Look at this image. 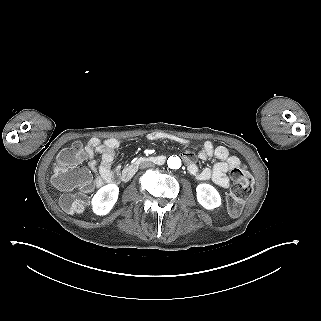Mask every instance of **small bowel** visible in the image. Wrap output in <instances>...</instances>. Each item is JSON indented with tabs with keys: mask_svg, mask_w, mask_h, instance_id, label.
<instances>
[{
	"mask_svg": "<svg viewBox=\"0 0 321 321\" xmlns=\"http://www.w3.org/2000/svg\"><path fill=\"white\" fill-rule=\"evenodd\" d=\"M147 140H169L180 144L188 143L187 140L162 132H152L147 135ZM120 142L116 138L102 140L93 137L85 145V158L90 170L95 174V186L101 187L106 183L113 182L118 176L119 167L113 164L115 150L119 148ZM99 154L101 159L96 161L95 156ZM187 163L188 172L199 181L212 180L220 187L228 188L230 179L228 172L240 164L236 156L230 155L224 146L214 147L212 142L206 141L199 150H186L182 154ZM216 158L217 162L213 167L200 169L196 164L197 159L208 160Z\"/></svg>",
	"mask_w": 321,
	"mask_h": 321,
	"instance_id": "c3829d8e",
	"label": "small bowel"
}]
</instances>
